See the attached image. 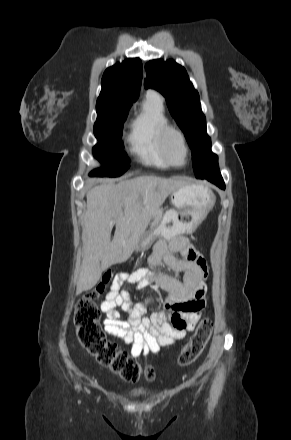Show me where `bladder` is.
<instances>
[{
  "label": "bladder",
  "instance_id": "1",
  "mask_svg": "<svg viewBox=\"0 0 291 440\" xmlns=\"http://www.w3.org/2000/svg\"><path fill=\"white\" fill-rule=\"evenodd\" d=\"M125 394L132 399H136V398L148 397L150 395V391L144 388H134L127 390Z\"/></svg>",
  "mask_w": 291,
  "mask_h": 440
}]
</instances>
